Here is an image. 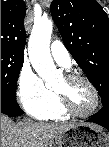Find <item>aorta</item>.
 <instances>
[{
    "mask_svg": "<svg viewBox=\"0 0 109 147\" xmlns=\"http://www.w3.org/2000/svg\"><path fill=\"white\" fill-rule=\"evenodd\" d=\"M53 23L49 19H41L34 23L28 45L30 62L38 75L51 87L60 78L50 54V39Z\"/></svg>",
    "mask_w": 109,
    "mask_h": 147,
    "instance_id": "762f6f07",
    "label": "aorta"
}]
</instances>
